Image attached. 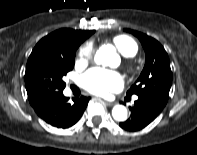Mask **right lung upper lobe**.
<instances>
[{
    "mask_svg": "<svg viewBox=\"0 0 197 155\" xmlns=\"http://www.w3.org/2000/svg\"><path fill=\"white\" fill-rule=\"evenodd\" d=\"M94 31H84V30H73V29H59L46 37L42 38L34 49H38L41 46L49 45L53 46L68 45L74 46L81 44L89 36H91ZM33 49V50H34ZM31 106L34 108L35 112L40 113L53 99H37L28 96Z\"/></svg>",
    "mask_w": 197,
    "mask_h": 155,
    "instance_id": "obj_1",
    "label": "right lung upper lobe"
}]
</instances>
